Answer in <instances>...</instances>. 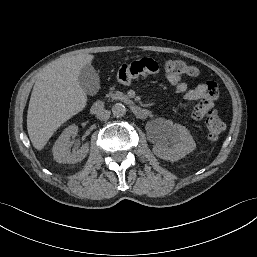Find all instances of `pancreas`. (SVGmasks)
Here are the masks:
<instances>
[{"label": "pancreas", "instance_id": "1", "mask_svg": "<svg viewBox=\"0 0 257 257\" xmlns=\"http://www.w3.org/2000/svg\"><path fill=\"white\" fill-rule=\"evenodd\" d=\"M106 97L108 99H111V100H127L128 97L123 94L122 92H109L108 94H106Z\"/></svg>", "mask_w": 257, "mask_h": 257}]
</instances>
